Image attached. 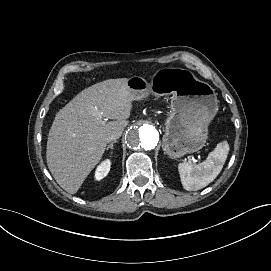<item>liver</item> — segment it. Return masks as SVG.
Returning a JSON list of instances; mask_svg holds the SVG:
<instances>
[{
    "instance_id": "liver-1",
    "label": "liver",
    "mask_w": 271,
    "mask_h": 271,
    "mask_svg": "<svg viewBox=\"0 0 271 271\" xmlns=\"http://www.w3.org/2000/svg\"><path fill=\"white\" fill-rule=\"evenodd\" d=\"M128 83L115 79L93 85L56 114L48 134L47 164L67 193L78 192L101 161L108 136L127 126L134 99Z\"/></svg>"
}]
</instances>
